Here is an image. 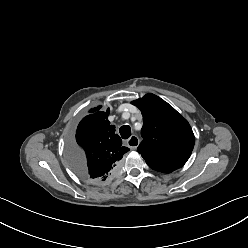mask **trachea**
Returning <instances> with one entry per match:
<instances>
[{
	"label": "trachea",
	"mask_w": 248,
	"mask_h": 248,
	"mask_svg": "<svg viewBox=\"0 0 248 248\" xmlns=\"http://www.w3.org/2000/svg\"><path fill=\"white\" fill-rule=\"evenodd\" d=\"M119 132L123 139H127L131 136V128L128 125L121 126Z\"/></svg>",
	"instance_id": "3493384b"
}]
</instances>
